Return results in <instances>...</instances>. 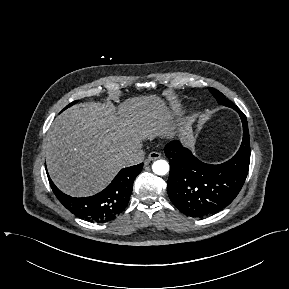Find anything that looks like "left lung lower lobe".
<instances>
[{"mask_svg": "<svg viewBox=\"0 0 289 289\" xmlns=\"http://www.w3.org/2000/svg\"><path fill=\"white\" fill-rule=\"evenodd\" d=\"M243 124V140L238 152L220 165L205 164L194 157L179 141L165 146L170 159L167 192L184 214L203 217L229 205L240 192L250 163V141L246 116L236 110Z\"/></svg>", "mask_w": 289, "mask_h": 289, "instance_id": "left-lung-lower-lobe-1", "label": "left lung lower lobe"}]
</instances>
